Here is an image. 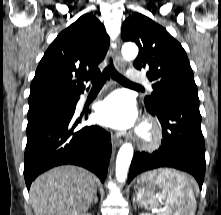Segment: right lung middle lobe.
<instances>
[{"label": "right lung middle lobe", "instance_id": "1", "mask_svg": "<svg viewBox=\"0 0 221 215\" xmlns=\"http://www.w3.org/2000/svg\"><path fill=\"white\" fill-rule=\"evenodd\" d=\"M76 100H71V101H66V102H61V103H57V104H53V105H48V106H43V107H37V108H30L28 111V119L33 118L34 116H36L37 114L44 112L46 110H50L53 108H56L58 106H61L63 104H67L70 105L72 103H74Z\"/></svg>", "mask_w": 221, "mask_h": 215}]
</instances>
